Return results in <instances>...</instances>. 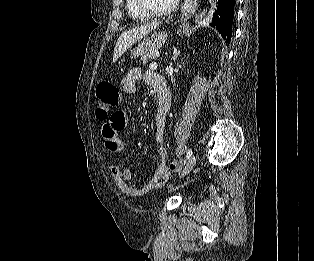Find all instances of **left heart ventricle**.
I'll list each match as a JSON object with an SVG mask.
<instances>
[{"instance_id": "left-heart-ventricle-1", "label": "left heart ventricle", "mask_w": 314, "mask_h": 261, "mask_svg": "<svg viewBox=\"0 0 314 261\" xmlns=\"http://www.w3.org/2000/svg\"><path fill=\"white\" fill-rule=\"evenodd\" d=\"M151 7L155 9H165L171 5L174 0H147Z\"/></svg>"}]
</instances>
